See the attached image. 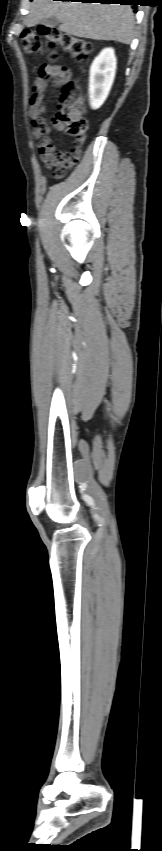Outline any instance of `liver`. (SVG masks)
<instances>
[{"instance_id": "obj_1", "label": "liver", "mask_w": 162, "mask_h": 851, "mask_svg": "<svg viewBox=\"0 0 162 851\" xmlns=\"http://www.w3.org/2000/svg\"><path fill=\"white\" fill-rule=\"evenodd\" d=\"M55 16L59 29L69 35L130 44L134 37V14L129 5L33 0L27 27Z\"/></svg>"}]
</instances>
